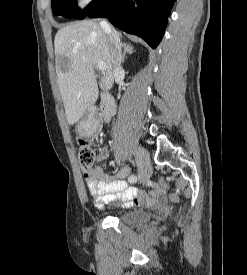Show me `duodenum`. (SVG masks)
<instances>
[{"label": "duodenum", "mask_w": 247, "mask_h": 275, "mask_svg": "<svg viewBox=\"0 0 247 275\" xmlns=\"http://www.w3.org/2000/svg\"><path fill=\"white\" fill-rule=\"evenodd\" d=\"M116 111V102L109 94H103L100 102L99 111L96 114L98 119L108 120Z\"/></svg>", "instance_id": "obj_1"}]
</instances>
